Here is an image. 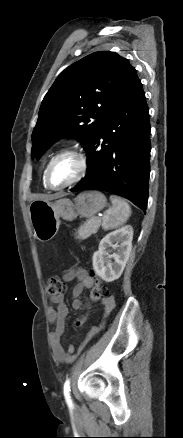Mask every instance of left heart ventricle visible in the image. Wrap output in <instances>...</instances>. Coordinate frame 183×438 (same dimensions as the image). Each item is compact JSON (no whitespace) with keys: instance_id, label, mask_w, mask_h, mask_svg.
<instances>
[{"instance_id":"obj_1","label":"left heart ventricle","mask_w":183,"mask_h":438,"mask_svg":"<svg viewBox=\"0 0 183 438\" xmlns=\"http://www.w3.org/2000/svg\"><path fill=\"white\" fill-rule=\"evenodd\" d=\"M79 165L75 157L59 159L51 168L49 181L53 186H60L71 181L78 173Z\"/></svg>"}]
</instances>
